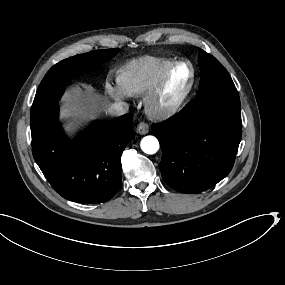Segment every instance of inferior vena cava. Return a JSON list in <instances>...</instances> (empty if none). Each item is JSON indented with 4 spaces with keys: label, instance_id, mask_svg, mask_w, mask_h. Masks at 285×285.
<instances>
[{
    "label": "inferior vena cava",
    "instance_id": "602c4592",
    "mask_svg": "<svg viewBox=\"0 0 285 285\" xmlns=\"http://www.w3.org/2000/svg\"><path fill=\"white\" fill-rule=\"evenodd\" d=\"M128 109L129 105L126 102H115L108 108V114L111 116H121L124 115Z\"/></svg>",
    "mask_w": 285,
    "mask_h": 285
}]
</instances>
